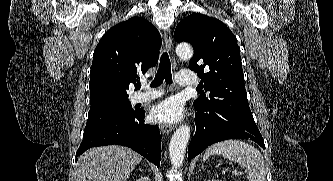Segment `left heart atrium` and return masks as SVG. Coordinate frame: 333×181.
<instances>
[{
    "mask_svg": "<svg viewBox=\"0 0 333 181\" xmlns=\"http://www.w3.org/2000/svg\"><path fill=\"white\" fill-rule=\"evenodd\" d=\"M184 117V107L182 102L176 97H170L151 111V118L156 122L176 123Z\"/></svg>",
    "mask_w": 333,
    "mask_h": 181,
    "instance_id": "obj_1",
    "label": "left heart atrium"
}]
</instances>
